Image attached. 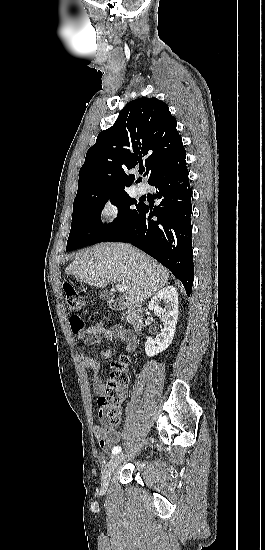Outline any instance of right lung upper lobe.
I'll use <instances>...</instances> for the list:
<instances>
[{"mask_svg":"<svg viewBox=\"0 0 265 550\" xmlns=\"http://www.w3.org/2000/svg\"><path fill=\"white\" fill-rule=\"evenodd\" d=\"M176 125L168 106L157 98L130 101L114 125L100 132L87 151L76 197L125 192L135 178L128 170L142 159L149 182L184 148Z\"/></svg>","mask_w":265,"mask_h":550,"instance_id":"right-lung-upper-lobe-1","label":"right lung upper lobe"}]
</instances>
